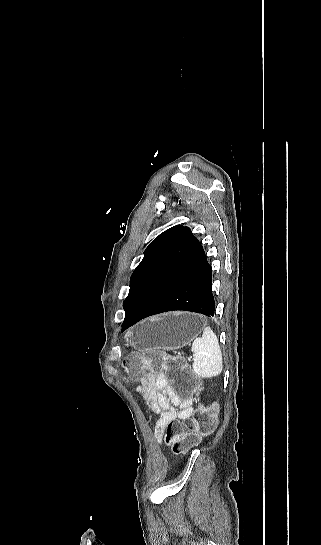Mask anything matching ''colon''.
<instances>
[{
	"label": "colon",
	"instance_id": "obj_1",
	"mask_svg": "<svg viewBox=\"0 0 321 545\" xmlns=\"http://www.w3.org/2000/svg\"><path fill=\"white\" fill-rule=\"evenodd\" d=\"M133 379L144 377H163L171 380V388L183 399L196 395L200 388L198 377L180 357H166L155 351L130 355L125 360ZM216 406L204 405L190 418L186 426L171 420L164 429L165 443L173 453L182 455L197 445L201 439L210 435L216 425Z\"/></svg>",
	"mask_w": 321,
	"mask_h": 545
}]
</instances>
